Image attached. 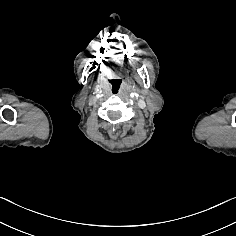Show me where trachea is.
I'll list each match as a JSON object with an SVG mask.
<instances>
[{
  "label": "trachea",
  "mask_w": 236,
  "mask_h": 236,
  "mask_svg": "<svg viewBox=\"0 0 236 236\" xmlns=\"http://www.w3.org/2000/svg\"><path fill=\"white\" fill-rule=\"evenodd\" d=\"M111 92H112V94H114V95H119V94H121V92H122V87H121V85H119V84H117V83H112L111 84Z\"/></svg>",
  "instance_id": "trachea-1"
}]
</instances>
